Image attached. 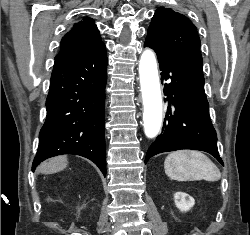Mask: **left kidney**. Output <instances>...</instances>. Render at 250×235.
Masks as SVG:
<instances>
[{
  "instance_id": "1",
  "label": "left kidney",
  "mask_w": 250,
  "mask_h": 235,
  "mask_svg": "<svg viewBox=\"0 0 250 235\" xmlns=\"http://www.w3.org/2000/svg\"><path fill=\"white\" fill-rule=\"evenodd\" d=\"M174 202L176 207L182 212L190 210L195 204L194 198L184 192H176L174 194Z\"/></svg>"
}]
</instances>
